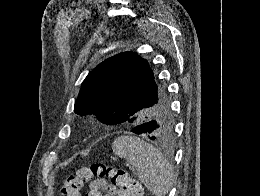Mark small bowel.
<instances>
[{"instance_id":"obj_1","label":"small bowel","mask_w":260,"mask_h":196,"mask_svg":"<svg viewBox=\"0 0 260 196\" xmlns=\"http://www.w3.org/2000/svg\"><path fill=\"white\" fill-rule=\"evenodd\" d=\"M109 185L104 179L93 180L87 189L86 196H109Z\"/></svg>"}]
</instances>
